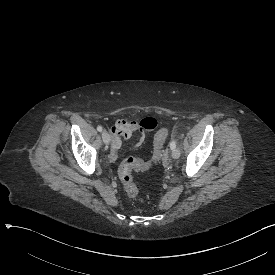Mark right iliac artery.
<instances>
[{"label":"right iliac artery","mask_w":275,"mask_h":275,"mask_svg":"<svg viewBox=\"0 0 275 275\" xmlns=\"http://www.w3.org/2000/svg\"><path fill=\"white\" fill-rule=\"evenodd\" d=\"M97 130H98L99 132H101V131L103 130V127H102V126H98V127H97Z\"/></svg>","instance_id":"right-iliac-artery-1"}]
</instances>
